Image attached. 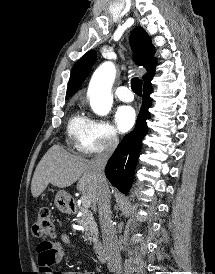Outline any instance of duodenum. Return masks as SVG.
<instances>
[{
	"mask_svg": "<svg viewBox=\"0 0 215 274\" xmlns=\"http://www.w3.org/2000/svg\"><path fill=\"white\" fill-rule=\"evenodd\" d=\"M69 206H70V209L74 212L76 207H75V204L73 201H71L69 203ZM94 250H95V254L99 261H101V262L106 261L107 251H106L105 246L100 241H98L94 244Z\"/></svg>",
	"mask_w": 215,
	"mask_h": 274,
	"instance_id": "410a0bca",
	"label": "duodenum"
}]
</instances>
